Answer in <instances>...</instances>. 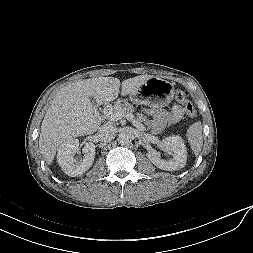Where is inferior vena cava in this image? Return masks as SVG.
Listing matches in <instances>:
<instances>
[{
    "label": "inferior vena cava",
    "instance_id": "1",
    "mask_svg": "<svg viewBox=\"0 0 253 253\" xmlns=\"http://www.w3.org/2000/svg\"><path fill=\"white\" fill-rule=\"evenodd\" d=\"M115 128L109 124H104L98 128L97 137L102 142H109L113 139Z\"/></svg>",
    "mask_w": 253,
    "mask_h": 253
}]
</instances>
